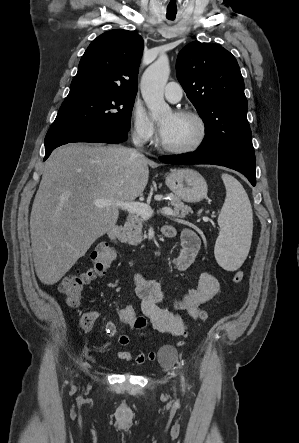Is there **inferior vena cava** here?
Instances as JSON below:
<instances>
[{"mask_svg": "<svg viewBox=\"0 0 299 443\" xmlns=\"http://www.w3.org/2000/svg\"><path fill=\"white\" fill-rule=\"evenodd\" d=\"M138 143V140L137 139H134V144L136 145Z\"/></svg>", "mask_w": 299, "mask_h": 443, "instance_id": "1", "label": "inferior vena cava"}]
</instances>
